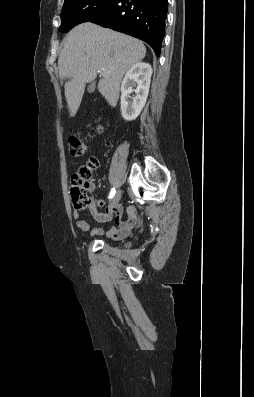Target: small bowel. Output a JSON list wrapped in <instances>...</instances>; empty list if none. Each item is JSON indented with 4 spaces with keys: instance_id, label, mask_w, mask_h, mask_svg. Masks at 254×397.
Wrapping results in <instances>:
<instances>
[{
    "instance_id": "obj_1",
    "label": "small bowel",
    "mask_w": 254,
    "mask_h": 397,
    "mask_svg": "<svg viewBox=\"0 0 254 397\" xmlns=\"http://www.w3.org/2000/svg\"><path fill=\"white\" fill-rule=\"evenodd\" d=\"M94 185L90 184L89 190H93ZM104 203L100 202L102 206ZM91 214L93 218L99 223L111 222L108 227L99 226L91 230V236H103L111 239H122L124 238L138 223V217L134 207H129L127 209L128 218L123 219L124 209L120 205L105 207L104 212H100L95 204L90 207ZM113 215H115L113 219ZM73 217L76 219L77 227L83 231L87 232L90 230V225L87 221L79 219V212L77 210L73 211Z\"/></svg>"
}]
</instances>
